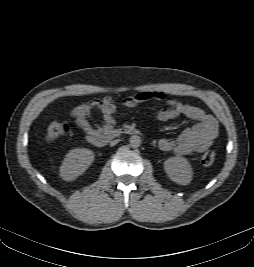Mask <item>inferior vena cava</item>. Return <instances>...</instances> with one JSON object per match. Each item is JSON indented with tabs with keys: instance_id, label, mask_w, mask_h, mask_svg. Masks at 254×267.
I'll return each instance as SVG.
<instances>
[{
	"instance_id": "inferior-vena-cava-1",
	"label": "inferior vena cava",
	"mask_w": 254,
	"mask_h": 267,
	"mask_svg": "<svg viewBox=\"0 0 254 267\" xmlns=\"http://www.w3.org/2000/svg\"><path fill=\"white\" fill-rule=\"evenodd\" d=\"M118 141H119V140H113V141L110 142V145H111V146H114V145H116V144L118 143Z\"/></svg>"
}]
</instances>
